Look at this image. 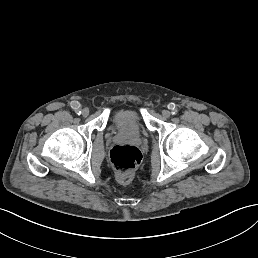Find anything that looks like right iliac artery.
I'll list each match as a JSON object with an SVG mask.
<instances>
[{
	"instance_id": "obj_1",
	"label": "right iliac artery",
	"mask_w": 258,
	"mask_h": 258,
	"mask_svg": "<svg viewBox=\"0 0 258 258\" xmlns=\"http://www.w3.org/2000/svg\"><path fill=\"white\" fill-rule=\"evenodd\" d=\"M81 113H82L81 110H76L77 115H81Z\"/></svg>"
}]
</instances>
